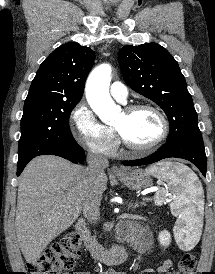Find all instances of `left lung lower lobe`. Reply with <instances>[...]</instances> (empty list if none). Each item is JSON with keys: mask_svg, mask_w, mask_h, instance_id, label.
<instances>
[{"mask_svg": "<svg viewBox=\"0 0 215 274\" xmlns=\"http://www.w3.org/2000/svg\"><path fill=\"white\" fill-rule=\"evenodd\" d=\"M176 157L186 159L195 164L198 169L206 176V154L204 145L191 143H165L153 154L138 160L123 161L126 166L147 165L159 160Z\"/></svg>", "mask_w": 215, "mask_h": 274, "instance_id": "obj_1", "label": "left lung lower lobe"}]
</instances>
